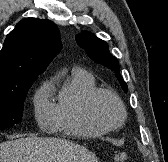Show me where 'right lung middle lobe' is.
I'll return each mask as SVG.
<instances>
[{
  "mask_svg": "<svg viewBox=\"0 0 168 162\" xmlns=\"http://www.w3.org/2000/svg\"><path fill=\"white\" fill-rule=\"evenodd\" d=\"M34 80H23L11 86L0 87V130L21 122L24 101Z\"/></svg>",
  "mask_w": 168,
  "mask_h": 162,
  "instance_id": "right-lung-middle-lobe-1",
  "label": "right lung middle lobe"
}]
</instances>
